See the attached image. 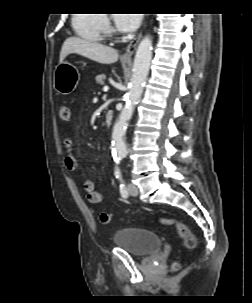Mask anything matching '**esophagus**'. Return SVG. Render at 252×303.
<instances>
[{"instance_id": "34e87169", "label": "esophagus", "mask_w": 252, "mask_h": 303, "mask_svg": "<svg viewBox=\"0 0 252 303\" xmlns=\"http://www.w3.org/2000/svg\"><path fill=\"white\" fill-rule=\"evenodd\" d=\"M142 36V31L129 43V45L127 46L125 52L122 55V59L125 61H130L132 58V55L136 49V46L138 44V42L140 41Z\"/></svg>"}]
</instances>
